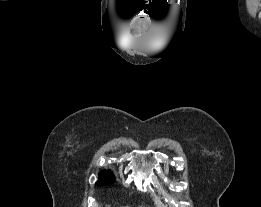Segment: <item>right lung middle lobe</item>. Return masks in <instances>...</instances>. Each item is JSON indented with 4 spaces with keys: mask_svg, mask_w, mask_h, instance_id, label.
Masks as SVG:
<instances>
[{
    "mask_svg": "<svg viewBox=\"0 0 261 207\" xmlns=\"http://www.w3.org/2000/svg\"><path fill=\"white\" fill-rule=\"evenodd\" d=\"M114 182V177L109 172L100 173L99 181L96 183L98 186L110 185Z\"/></svg>",
    "mask_w": 261,
    "mask_h": 207,
    "instance_id": "dd1d6c3e",
    "label": "right lung middle lobe"
}]
</instances>
